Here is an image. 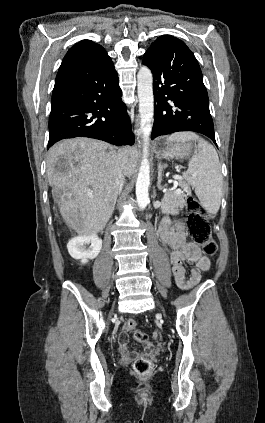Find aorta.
<instances>
[{
    "mask_svg": "<svg viewBox=\"0 0 265 423\" xmlns=\"http://www.w3.org/2000/svg\"><path fill=\"white\" fill-rule=\"evenodd\" d=\"M140 128L143 137V157L136 181V199L141 210L149 203L150 166L148 161L149 140L154 115L153 76L147 66H142L137 74Z\"/></svg>",
    "mask_w": 265,
    "mask_h": 423,
    "instance_id": "aorta-1",
    "label": "aorta"
}]
</instances>
